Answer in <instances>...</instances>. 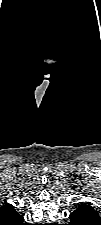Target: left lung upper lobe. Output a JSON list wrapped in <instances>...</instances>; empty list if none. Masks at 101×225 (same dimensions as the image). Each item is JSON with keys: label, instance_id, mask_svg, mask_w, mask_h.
Listing matches in <instances>:
<instances>
[{"label": "left lung upper lobe", "instance_id": "5c2ea615", "mask_svg": "<svg viewBox=\"0 0 101 225\" xmlns=\"http://www.w3.org/2000/svg\"><path fill=\"white\" fill-rule=\"evenodd\" d=\"M80 206H84V207H90V208H92L90 205H85V204H82V205H80Z\"/></svg>", "mask_w": 101, "mask_h": 225}]
</instances>
